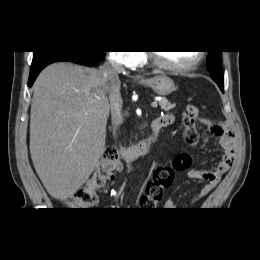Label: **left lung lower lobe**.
I'll list each match as a JSON object with an SVG mask.
<instances>
[{
	"label": "left lung lower lobe",
	"instance_id": "0a47b994",
	"mask_svg": "<svg viewBox=\"0 0 260 260\" xmlns=\"http://www.w3.org/2000/svg\"><path fill=\"white\" fill-rule=\"evenodd\" d=\"M212 79L217 83L221 91L224 92V79H217V78H212Z\"/></svg>",
	"mask_w": 260,
	"mask_h": 260
}]
</instances>
